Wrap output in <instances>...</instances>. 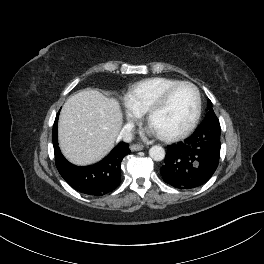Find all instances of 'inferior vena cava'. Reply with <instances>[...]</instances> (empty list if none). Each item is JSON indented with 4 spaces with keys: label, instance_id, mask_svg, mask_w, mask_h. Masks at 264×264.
<instances>
[{
    "label": "inferior vena cava",
    "instance_id": "obj_1",
    "mask_svg": "<svg viewBox=\"0 0 264 264\" xmlns=\"http://www.w3.org/2000/svg\"><path fill=\"white\" fill-rule=\"evenodd\" d=\"M133 124L127 123L124 125V127L121 129L117 136V141H124V142H131L133 140Z\"/></svg>",
    "mask_w": 264,
    "mask_h": 264
}]
</instances>
